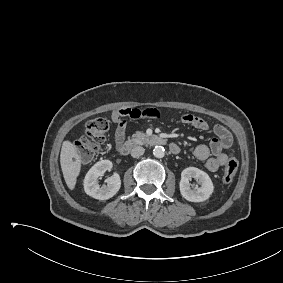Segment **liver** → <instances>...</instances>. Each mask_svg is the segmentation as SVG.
<instances>
[{
	"instance_id": "6515ba94",
	"label": "liver",
	"mask_w": 283,
	"mask_h": 283,
	"mask_svg": "<svg viewBox=\"0 0 283 283\" xmlns=\"http://www.w3.org/2000/svg\"><path fill=\"white\" fill-rule=\"evenodd\" d=\"M60 164L65 182L70 190L75 188L81 170V158L76 146L65 140L60 153Z\"/></svg>"
}]
</instances>
